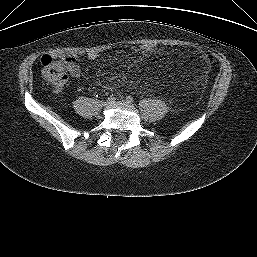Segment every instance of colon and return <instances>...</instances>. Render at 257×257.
Instances as JSON below:
<instances>
[{"mask_svg": "<svg viewBox=\"0 0 257 257\" xmlns=\"http://www.w3.org/2000/svg\"><path fill=\"white\" fill-rule=\"evenodd\" d=\"M143 53H151L156 50V47L149 43H144L140 46ZM43 66V75L56 87H62L66 82L67 76L65 70L53 60L49 55H44L41 59Z\"/></svg>", "mask_w": 257, "mask_h": 257, "instance_id": "5ec220e1", "label": "colon"}]
</instances>
